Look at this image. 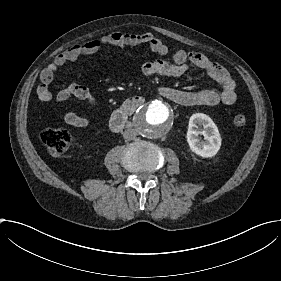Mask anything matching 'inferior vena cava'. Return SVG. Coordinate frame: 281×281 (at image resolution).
<instances>
[{
    "mask_svg": "<svg viewBox=\"0 0 281 281\" xmlns=\"http://www.w3.org/2000/svg\"><path fill=\"white\" fill-rule=\"evenodd\" d=\"M137 135V132L135 129L130 128L124 131L123 136L127 139V140H133Z\"/></svg>",
    "mask_w": 281,
    "mask_h": 281,
    "instance_id": "1",
    "label": "inferior vena cava"
}]
</instances>
